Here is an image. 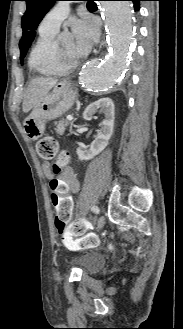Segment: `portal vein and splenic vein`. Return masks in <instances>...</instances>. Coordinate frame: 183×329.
I'll return each instance as SVG.
<instances>
[{"instance_id": "1", "label": "portal vein and splenic vein", "mask_w": 183, "mask_h": 329, "mask_svg": "<svg viewBox=\"0 0 183 329\" xmlns=\"http://www.w3.org/2000/svg\"><path fill=\"white\" fill-rule=\"evenodd\" d=\"M67 120L71 121L73 119V117L71 115H67Z\"/></svg>"}]
</instances>
